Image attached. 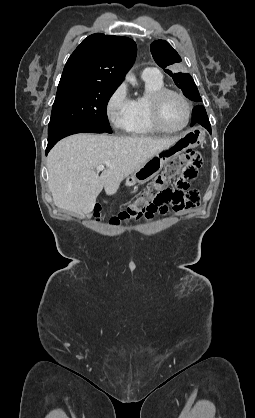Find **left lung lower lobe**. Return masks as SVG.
<instances>
[{
    "instance_id": "left-lung-lower-lobe-1",
    "label": "left lung lower lobe",
    "mask_w": 255,
    "mask_h": 418,
    "mask_svg": "<svg viewBox=\"0 0 255 418\" xmlns=\"http://www.w3.org/2000/svg\"><path fill=\"white\" fill-rule=\"evenodd\" d=\"M195 124L202 125L211 133V125H210L206 110L202 105L196 106L192 111L191 126Z\"/></svg>"
}]
</instances>
